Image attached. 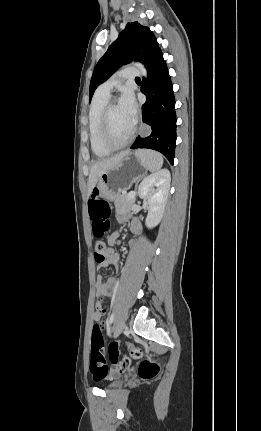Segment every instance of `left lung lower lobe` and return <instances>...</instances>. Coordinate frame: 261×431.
Here are the masks:
<instances>
[{
    "label": "left lung lower lobe",
    "mask_w": 261,
    "mask_h": 431,
    "mask_svg": "<svg viewBox=\"0 0 261 431\" xmlns=\"http://www.w3.org/2000/svg\"><path fill=\"white\" fill-rule=\"evenodd\" d=\"M148 72L141 92L147 96L142 106L143 122L150 127L148 136H138L131 149L148 148L161 152L171 164L176 146L175 99L171 79L160 48L145 65Z\"/></svg>",
    "instance_id": "0a47b994"
}]
</instances>
